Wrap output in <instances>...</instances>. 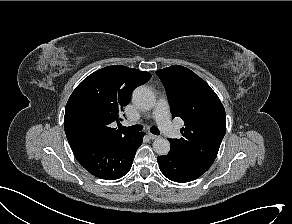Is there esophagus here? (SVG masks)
Listing matches in <instances>:
<instances>
[{"mask_svg": "<svg viewBox=\"0 0 292 224\" xmlns=\"http://www.w3.org/2000/svg\"><path fill=\"white\" fill-rule=\"evenodd\" d=\"M148 136H149V138L152 139V140L159 138V136L154 135V134H152V133H148Z\"/></svg>", "mask_w": 292, "mask_h": 224, "instance_id": "esophagus-1", "label": "esophagus"}]
</instances>
